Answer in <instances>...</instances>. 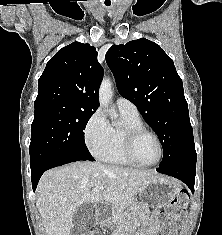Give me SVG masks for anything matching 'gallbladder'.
<instances>
[{"mask_svg": "<svg viewBox=\"0 0 222 235\" xmlns=\"http://www.w3.org/2000/svg\"><path fill=\"white\" fill-rule=\"evenodd\" d=\"M95 222V207L90 202L81 204L73 215L71 235H87Z\"/></svg>", "mask_w": 222, "mask_h": 235, "instance_id": "gallbladder-1", "label": "gallbladder"}]
</instances>
